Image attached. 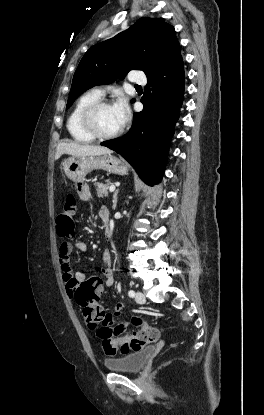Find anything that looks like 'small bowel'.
Here are the masks:
<instances>
[{
	"label": "small bowel",
	"instance_id": "1",
	"mask_svg": "<svg viewBox=\"0 0 264 415\" xmlns=\"http://www.w3.org/2000/svg\"><path fill=\"white\" fill-rule=\"evenodd\" d=\"M86 198H90L89 192L84 195ZM99 219L102 223H107L110 218V212L107 207H101L98 212ZM77 251L84 253L88 250V244L84 241H78L75 244ZM72 253V245L69 243H62L59 246V263L63 271V277L65 282V288L70 298L76 301L75 296L80 284L88 279H96L100 285V292L107 287L114 285L115 278L112 270V255L109 251H105L102 256L103 266L100 270V276L88 277L81 271L72 272L70 256ZM124 303L120 302L117 305V309L114 315H107L105 326L109 330L111 335H119L123 333L129 325V322L122 318L121 309L124 307Z\"/></svg>",
	"mask_w": 264,
	"mask_h": 415
}]
</instances>
